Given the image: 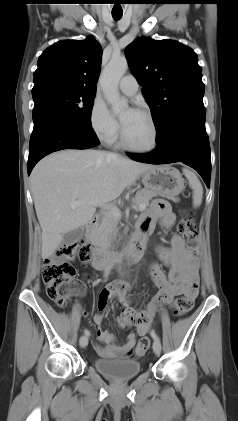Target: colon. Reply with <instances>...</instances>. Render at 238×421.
Instances as JSON below:
<instances>
[{"label": "colon", "instance_id": "colon-1", "mask_svg": "<svg viewBox=\"0 0 238 421\" xmlns=\"http://www.w3.org/2000/svg\"><path fill=\"white\" fill-rule=\"evenodd\" d=\"M178 231L182 234L191 255L197 258L199 235L191 216H186L180 221ZM75 255L83 262L88 261L92 255L90 246L84 242L72 245L62 244L44 261L43 280L46 285L47 295L61 307L67 305L73 293L82 290V282L76 279L75 268L68 261ZM191 308V301L184 297H179L175 303L174 313L180 317L187 314ZM133 315L131 314V316ZM150 344L149 337L142 336L137 343L135 354L137 356L142 355L149 349Z\"/></svg>", "mask_w": 238, "mask_h": 421}]
</instances>
